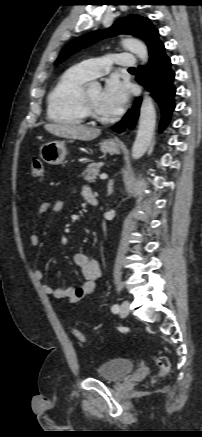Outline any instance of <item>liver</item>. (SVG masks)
Instances as JSON below:
<instances>
[{
    "label": "liver",
    "mask_w": 202,
    "mask_h": 437,
    "mask_svg": "<svg viewBox=\"0 0 202 437\" xmlns=\"http://www.w3.org/2000/svg\"><path fill=\"white\" fill-rule=\"evenodd\" d=\"M44 128L55 136L82 141L93 140L101 134L100 129L66 122L48 123Z\"/></svg>",
    "instance_id": "6515ba94"
}]
</instances>
